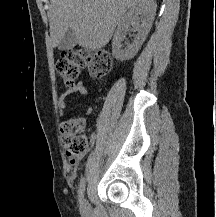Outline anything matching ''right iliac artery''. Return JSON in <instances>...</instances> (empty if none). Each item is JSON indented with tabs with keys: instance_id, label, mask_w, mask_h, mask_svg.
<instances>
[{
	"instance_id": "1",
	"label": "right iliac artery",
	"mask_w": 216,
	"mask_h": 217,
	"mask_svg": "<svg viewBox=\"0 0 216 217\" xmlns=\"http://www.w3.org/2000/svg\"><path fill=\"white\" fill-rule=\"evenodd\" d=\"M84 192H85V179L82 178L81 181H80L79 190H78L80 208H81V204L83 202Z\"/></svg>"
}]
</instances>
